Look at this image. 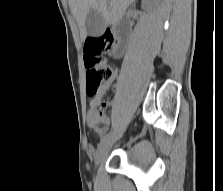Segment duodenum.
Listing matches in <instances>:
<instances>
[{
    "label": "duodenum",
    "instance_id": "410a0bca",
    "mask_svg": "<svg viewBox=\"0 0 223 191\" xmlns=\"http://www.w3.org/2000/svg\"><path fill=\"white\" fill-rule=\"evenodd\" d=\"M116 31L119 35L120 38H122V43L120 44L117 52L122 53L125 44H126V39L129 35V26H128V22L126 21V19L124 18L123 20H121L118 25L116 26Z\"/></svg>",
    "mask_w": 223,
    "mask_h": 191
}]
</instances>
